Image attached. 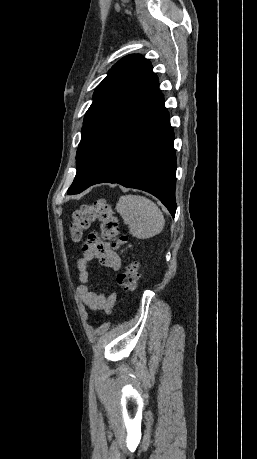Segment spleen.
<instances>
[{"mask_svg":"<svg viewBox=\"0 0 257 459\" xmlns=\"http://www.w3.org/2000/svg\"><path fill=\"white\" fill-rule=\"evenodd\" d=\"M116 210L128 225L132 236L138 239H147L159 234L165 224L161 210L144 196H121L116 204Z\"/></svg>","mask_w":257,"mask_h":459,"instance_id":"1","label":"spleen"}]
</instances>
